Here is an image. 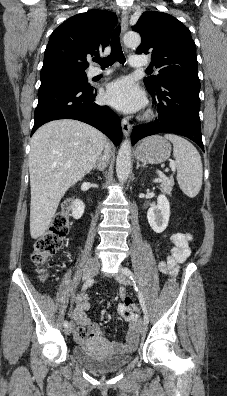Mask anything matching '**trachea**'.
<instances>
[{
	"label": "trachea",
	"mask_w": 227,
	"mask_h": 396,
	"mask_svg": "<svg viewBox=\"0 0 227 396\" xmlns=\"http://www.w3.org/2000/svg\"><path fill=\"white\" fill-rule=\"evenodd\" d=\"M120 27L115 28L111 38V53L107 58H95L94 61L99 63L101 67L105 68L111 66L116 61L124 64L126 59L122 52V47L119 38ZM149 71V69H147Z\"/></svg>",
	"instance_id": "obj_1"
}]
</instances>
